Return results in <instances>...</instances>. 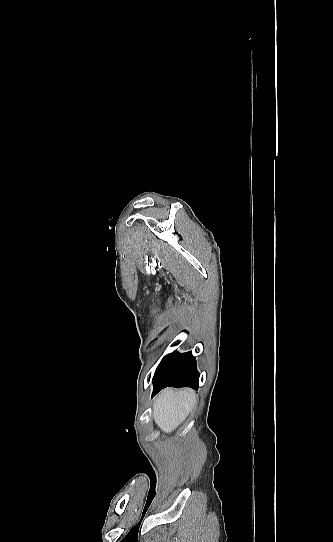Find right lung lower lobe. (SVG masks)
<instances>
[{"mask_svg":"<svg viewBox=\"0 0 333 542\" xmlns=\"http://www.w3.org/2000/svg\"><path fill=\"white\" fill-rule=\"evenodd\" d=\"M153 395L165 387H199V373L196 369V360L191 352L173 353L165 356L153 377Z\"/></svg>","mask_w":333,"mask_h":542,"instance_id":"98d812e1","label":"right lung lower lobe"}]
</instances>
